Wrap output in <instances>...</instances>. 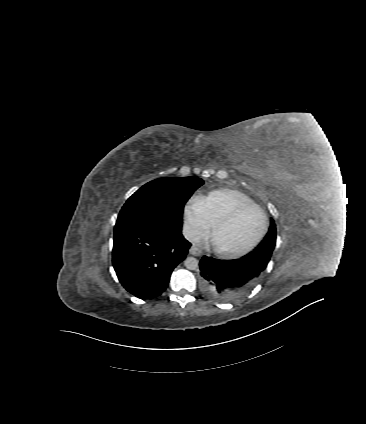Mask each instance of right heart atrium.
I'll return each mask as SVG.
<instances>
[{"mask_svg":"<svg viewBox=\"0 0 366 424\" xmlns=\"http://www.w3.org/2000/svg\"><path fill=\"white\" fill-rule=\"evenodd\" d=\"M211 226L203 199L200 196L191 197L183 206V227L186 236L192 241L198 240L209 232Z\"/></svg>","mask_w":366,"mask_h":424,"instance_id":"right-heart-atrium-1","label":"right heart atrium"}]
</instances>
